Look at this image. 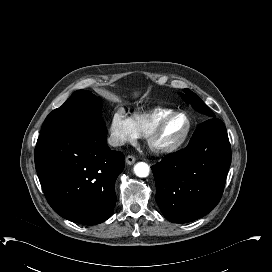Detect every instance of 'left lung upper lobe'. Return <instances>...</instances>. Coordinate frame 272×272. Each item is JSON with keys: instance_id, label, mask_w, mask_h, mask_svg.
Returning a JSON list of instances; mask_svg holds the SVG:
<instances>
[{"instance_id": "left-lung-upper-lobe-1", "label": "left lung upper lobe", "mask_w": 272, "mask_h": 272, "mask_svg": "<svg viewBox=\"0 0 272 272\" xmlns=\"http://www.w3.org/2000/svg\"><path fill=\"white\" fill-rule=\"evenodd\" d=\"M185 94H180L186 103H190L197 111L210 116V118L216 117L213 111L206 106V104L189 89H183Z\"/></svg>"}]
</instances>
